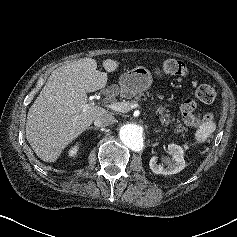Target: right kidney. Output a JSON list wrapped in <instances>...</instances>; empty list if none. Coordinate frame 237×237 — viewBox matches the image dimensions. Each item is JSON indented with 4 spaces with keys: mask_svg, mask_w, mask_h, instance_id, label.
<instances>
[{
    "mask_svg": "<svg viewBox=\"0 0 237 237\" xmlns=\"http://www.w3.org/2000/svg\"><path fill=\"white\" fill-rule=\"evenodd\" d=\"M78 150H79V145L76 144L75 146H73L69 149L68 155L70 157H75L77 155Z\"/></svg>",
    "mask_w": 237,
    "mask_h": 237,
    "instance_id": "right-kidney-1",
    "label": "right kidney"
}]
</instances>
